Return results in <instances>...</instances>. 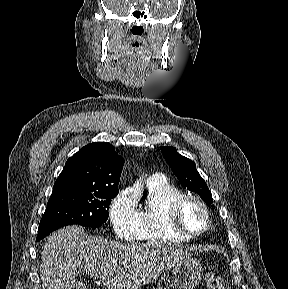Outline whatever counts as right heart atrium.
Returning <instances> with one entry per match:
<instances>
[{
	"label": "right heart atrium",
	"instance_id": "1",
	"mask_svg": "<svg viewBox=\"0 0 288 289\" xmlns=\"http://www.w3.org/2000/svg\"><path fill=\"white\" fill-rule=\"evenodd\" d=\"M109 218L118 238L140 239L142 221L135 198L128 190L120 191L111 201Z\"/></svg>",
	"mask_w": 288,
	"mask_h": 289
}]
</instances>
